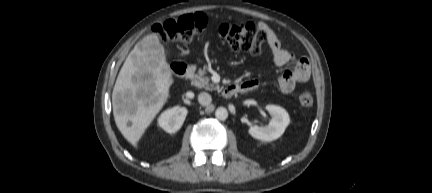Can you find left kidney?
<instances>
[{
  "instance_id": "left-kidney-1",
  "label": "left kidney",
  "mask_w": 432,
  "mask_h": 193,
  "mask_svg": "<svg viewBox=\"0 0 432 193\" xmlns=\"http://www.w3.org/2000/svg\"><path fill=\"white\" fill-rule=\"evenodd\" d=\"M266 110L271 115V120L266 126H251L249 134L258 140L273 141L278 139L285 131L290 122L289 115L285 109L276 105H267Z\"/></svg>"
}]
</instances>
